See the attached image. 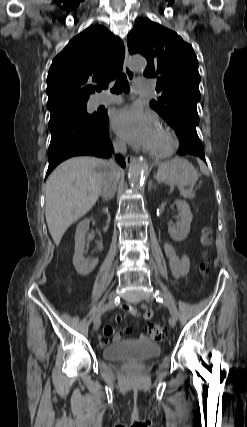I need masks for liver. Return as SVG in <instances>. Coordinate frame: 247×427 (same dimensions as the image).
Masks as SVG:
<instances>
[{
  "label": "liver",
  "mask_w": 247,
  "mask_h": 427,
  "mask_svg": "<svg viewBox=\"0 0 247 427\" xmlns=\"http://www.w3.org/2000/svg\"><path fill=\"white\" fill-rule=\"evenodd\" d=\"M107 170L105 160L83 156L66 160L50 174L46 183L45 217L56 245L66 230L95 205Z\"/></svg>",
  "instance_id": "liver-1"
}]
</instances>
